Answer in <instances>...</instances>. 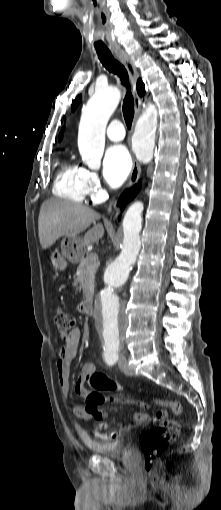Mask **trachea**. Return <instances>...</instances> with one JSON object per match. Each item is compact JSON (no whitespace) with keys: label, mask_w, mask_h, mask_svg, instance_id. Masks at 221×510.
<instances>
[{"label":"trachea","mask_w":221,"mask_h":510,"mask_svg":"<svg viewBox=\"0 0 221 510\" xmlns=\"http://www.w3.org/2000/svg\"><path fill=\"white\" fill-rule=\"evenodd\" d=\"M97 54L102 65L109 72L116 74L120 78L122 85L126 87L127 92L123 100L122 110L126 125L128 129H130L134 118V99L130 91L128 73L125 67L120 64L111 53L97 51Z\"/></svg>","instance_id":"3493384b"}]
</instances>
